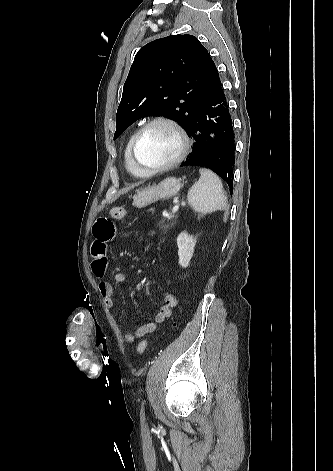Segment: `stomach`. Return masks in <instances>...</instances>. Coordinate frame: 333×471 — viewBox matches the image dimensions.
Instances as JSON below:
<instances>
[{"mask_svg": "<svg viewBox=\"0 0 333 471\" xmlns=\"http://www.w3.org/2000/svg\"><path fill=\"white\" fill-rule=\"evenodd\" d=\"M181 180L168 177L157 185L140 189L133 197L132 205L136 208H144L159 200H167L175 196L181 189Z\"/></svg>", "mask_w": 333, "mask_h": 471, "instance_id": "stomach-1", "label": "stomach"}]
</instances>
